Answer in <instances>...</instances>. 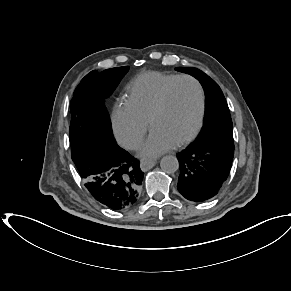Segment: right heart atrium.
Instances as JSON below:
<instances>
[{"label": "right heart atrium", "mask_w": 291, "mask_h": 291, "mask_svg": "<svg viewBox=\"0 0 291 291\" xmlns=\"http://www.w3.org/2000/svg\"><path fill=\"white\" fill-rule=\"evenodd\" d=\"M112 124L119 143L132 150L141 145L148 130V123L139 118L126 102H121L115 107Z\"/></svg>", "instance_id": "d8ad5b80"}]
</instances>
